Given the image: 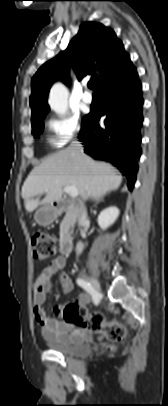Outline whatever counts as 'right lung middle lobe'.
I'll return each mask as SVG.
<instances>
[{
  "label": "right lung middle lobe",
  "mask_w": 168,
  "mask_h": 406,
  "mask_svg": "<svg viewBox=\"0 0 168 406\" xmlns=\"http://www.w3.org/2000/svg\"><path fill=\"white\" fill-rule=\"evenodd\" d=\"M84 118H85V117H84ZM42 120H43V119H42ZM42 120H40V121H38V122L32 124V128H33L32 134H33L35 137H38V136L42 133V130H43V123H42ZM83 120H84V119H83Z\"/></svg>",
  "instance_id": "dd1d6c3e"
}]
</instances>
